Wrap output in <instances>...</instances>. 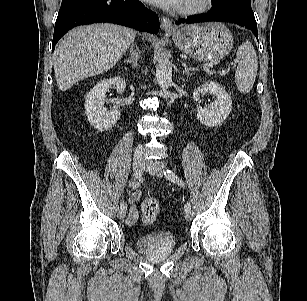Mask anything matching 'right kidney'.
Listing matches in <instances>:
<instances>
[{
	"instance_id": "1",
	"label": "right kidney",
	"mask_w": 307,
	"mask_h": 301,
	"mask_svg": "<svg viewBox=\"0 0 307 301\" xmlns=\"http://www.w3.org/2000/svg\"><path fill=\"white\" fill-rule=\"evenodd\" d=\"M112 85L116 86L117 93H123L126 88V82L120 76L103 79L91 89L85 99L88 121L101 132L112 128L120 119V112L117 108L106 111L103 107L105 93Z\"/></svg>"
}]
</instances>
